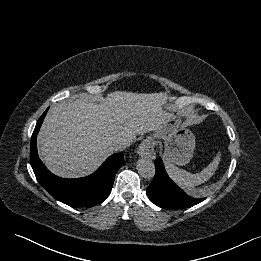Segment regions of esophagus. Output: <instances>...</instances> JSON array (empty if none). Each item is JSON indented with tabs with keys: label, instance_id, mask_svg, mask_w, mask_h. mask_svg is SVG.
I'll return each instance as SVG.
<instances>
[{
	"label": "esophagus",
	"instance_id": "obj_1",
	"mask_svg": "<svg viewBox=\"0 0 261 261\" xmlns=\"http://www.w3.org/2000/svg\"><path fill=\"white\" fill-rule=\"evenodd\" d=\"M137 153L144 158L154 159L155 158V150L154 143L151 139L144 140L138 147Z\"/></svg>",
	"mask_w": 261,
	"mask_h": 261
}]
</instances>
